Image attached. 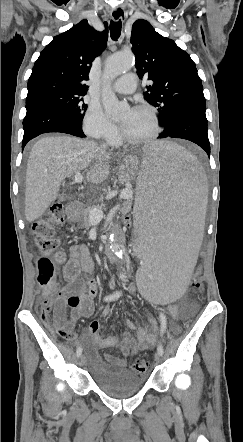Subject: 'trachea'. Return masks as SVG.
I'll return each instance as SVG.
<instances>
[{
    "label": "trachea",
    "mask_w": 243,
    "mask_h": 442,
    "mask_svg": "<svg viewBox=\"0 0 243 442\" xmlns=\"http://www.w3.org/2000/svg\"><path fill=\"white\" fill-rule=\"evenodd\" d=\"M110 34L111 39L116 41L121 34V20L119 21H111L110 22Z\"/></svg>",
    "instance_id": "trachea-1"
}]
</instances>
